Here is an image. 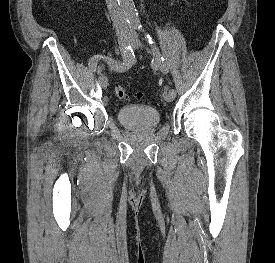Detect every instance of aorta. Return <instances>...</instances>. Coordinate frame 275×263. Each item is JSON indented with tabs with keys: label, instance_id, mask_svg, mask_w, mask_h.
Segmentation results:
<instances>
[{
	"label": "aorta",
	"instance_id": "1",
	"mask_svg": "<svg viewBox=\"0 0 275 263\" xmlns=\"http://www.w3.org/2000/svg\"><path fill=\"white\" fill-rule=\"evenodd\" d=\"M119 5L128 24L132 27H140V19L133 0H119Z\"/></svg>",
	"mask_w": 275,
	"mask_h": 263
}]
</instances>
